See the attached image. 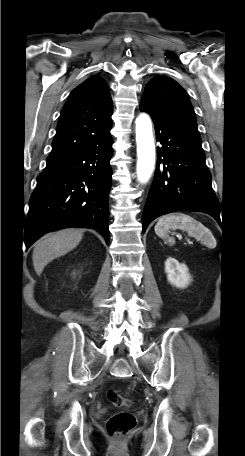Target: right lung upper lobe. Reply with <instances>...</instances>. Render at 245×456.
I'll use <instances>...</instances> for the list:
<instances>
[{
    "label": "right lung upper lobe",
    "mask_w": 245,
    "mask_h": 456,
    "mask_svg": "<svg viewBox=\"0 0 245 456\" xmlns=\"http://www.w3.org/2000/svg\"><path fill=\"white\" fill-rule=\"evenodd\" d=\"M113 105L109 86L92 76L77 86L66 101L52 141L47 163L56 162L87 149L112 127Z\"/></svg>",
    "instance_id": "cb5924a9"
}]
</instances>
